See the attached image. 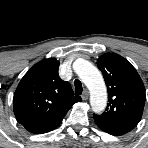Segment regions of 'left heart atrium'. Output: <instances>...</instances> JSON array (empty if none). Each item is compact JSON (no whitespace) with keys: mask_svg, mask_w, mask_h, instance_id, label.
Here are the masks:
<instances>
[{"mask_svg":"<svg viewBox=\"0 0 148 148\" xmlns=\"http://www.w3.org/2000/svg\"><path fill=\"white\" fill-rule=\"evenodd\" d=\"M83 78L86 79V76L83 74Z\"/></svg>","mask_w":148,"mask_h":148,"instance_id":"obj_1","label":"left heart atrium"}]
</instances>
